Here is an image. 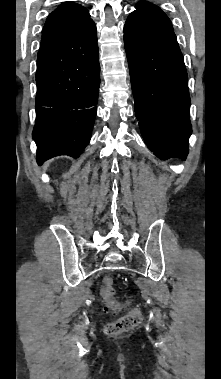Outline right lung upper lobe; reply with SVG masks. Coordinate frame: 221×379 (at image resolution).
Masks as SVG:
<instances>
[{
	"label": "right lung upper lobe",
	"instance_id": "cb5924a9",
	"mask_svg": "<svg viewBox=\"0 0 221 379\" xmlns=\"http://www.w3.org/2000/svg\"><path fill=\"white\" fill-rule=\"evenodd\" d=\"M91 22L89 11L85 7L74 2L59 5L46 20L40 49L73 37Z\"/></svg>",
	"mask_w": 221,
	"mask_h": 379
}]
</instances>
